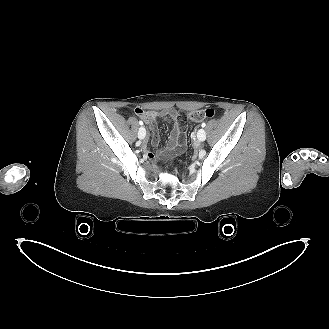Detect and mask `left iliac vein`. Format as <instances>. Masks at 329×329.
<instances>
[{
  "mask_svg": "<svg viewBox=\"0 0 329 329\" xmlns=\"http://www.w3.org/2000/svg\"><path fill=\"white\" fill-rule=\"evenodd\" d=\"M197 139L199 142H203L206 139V132L204 129H199L197 132Z\"/></svg>",
  "mask_w": 329,
  "mask_h": 329,
  "instance_id": "left-iliac-vein-1",
  "label": "left iliac vein"
}]
</instances>
